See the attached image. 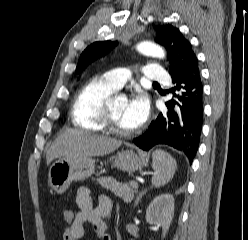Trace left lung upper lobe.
Returning <instances> with one entry per match:
<instances>
[{"label": "left lung upper lobe", "instance_id": "left-lung-upper-lobe-1", "mask_svg": "<svg viewBox=\"0 0 248 240\" xmlns=\"http://www.w3.org/2000/svg\"><path fill=\"white\" fill-rule=\"evenodd\" d=\"M157 36L155 41L164 46L168 53L171 77L181 75L184 69L196 58L190 42L178 28L172 25L155 26ZM117 42L99 41L89 45L81 54L76 73L83 70L91 61L106 54Z\"/></svg>", "mask_w": 248, "mask_h": 240}]
</instances>
